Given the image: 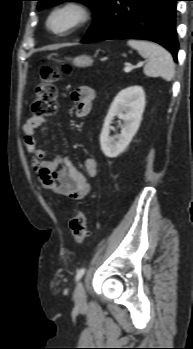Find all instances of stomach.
I'll return each mask as SVG.
<instances>
[{
  "mask_svg": "<svg viewBox=\"0 0 193 349\" xmlns=\"http://www.w3.org/2000/svg\"><path fill=\"white\" fill-rule=\"evenodd\" d=\"M72 63L77 67H88L92 65L93 60L87 55H79L73 59Z\"/></svg>",
  "mask_w": 193,
  "mask_h": 349,
  "instance_id": "obj_1",
  "label": "stomach"
}]
</instances>
